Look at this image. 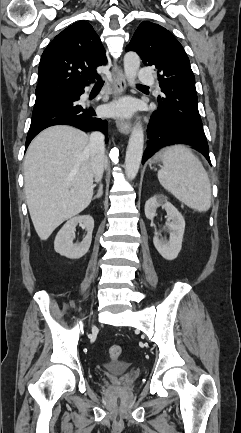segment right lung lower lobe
Wrapping results in <instances>:
<instances>
[{
    "instance_id": "obj_1",
    "label": "right lung lower lobe",
    "mask_w": 241,
    "mask_h": 433,
    "mask_svg": "<svg viewBox=\"0 0 241 433\" xmlns=\"http://www.w3.org/2000/svg\"><path fill=\"white\" fill-rule=\"evenodd\" d=\"M72 98L66 102L54 105L32 116L30 129L27 134L25 149L31 140L43 129L53 125H72L83 131L98 130L108 136V123L98 118L91 106L80 105L78 100L84 93V88H76L72 91Z\"/></svg>"
}]
</instances>
